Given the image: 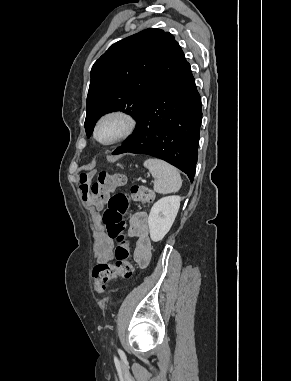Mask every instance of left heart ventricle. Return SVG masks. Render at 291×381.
<instances>
[{
	"label": "left heart ventricle",
	"instance_id": "obj_1",
	"mask_svg": "<svg viewBox=\"0 0 291 381\" xmlns=\"http://www.w3.org/2000/svg\"><path fill=\"white\" fill-rule=\"evenodd\" d=\"M124 126V122L119 118L106 119L99 127V139L103 142L114 139L123 131Z\"/></svg>",
	"mask_w": 291,
	"mask_h": 381
}]
</instances>
